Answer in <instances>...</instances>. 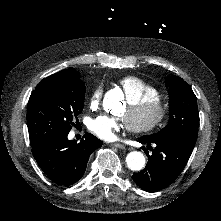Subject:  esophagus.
Masks as SVG:
<instances>
[{
    "label": "esophagus",
    "instance_id": "esophagus-1",
    "mask_svg": "<svg viewBox=\"0 0 221 221\" xmlns=\"http://www.w3.org/2000/svg\"><path fill=\"white\" fill-rule=\"evenodd\" d=\"M108 145L112 146V147L119 148V149H124L125 148V146L123 144H120V143H110Z\"/></svg>",
    "mask_w": 221,
    "mask_h": 221
}]
</instances>
